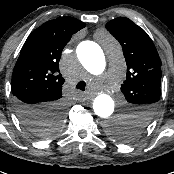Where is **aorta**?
<instances>
[{"label":"aorta","instance_id":"obj_1","mask_svg":"<svg viewBox=\"0 0 174 174\" xmlns=\"http://www.w3.org/2000/svg\"><path fill=\"white\" fill-rule=\"evenodd\" d=\"M106 55L113 61L120 60V50L117 45L107 38ZM76 54L85 67L93 75H101L104 72L106 59L101 47L92 41L81 42L76 49ZM115 103L110 95L100 93L94 100L93 109L96 116L104 123V129L111 135L121 129L122 116H115Z\"/></svg>","mask_w":174,"mask_h":174}]
</instances>
